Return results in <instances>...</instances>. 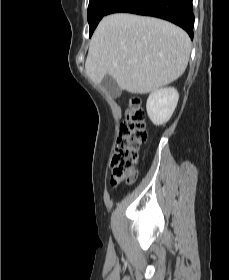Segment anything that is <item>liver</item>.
Instances as JSON below:
<instances>
[{"instance_id": "obj_1", "label": "liver", "mask_w": 229, "mask_h": 280, "mask_svg": "<svg viewBox=\"0 0 229 280\" xmlns=\"http://www.w3.org/2000/svg\"><path fill=\"white\" fill-rule=\"evenodd\" d=\"M190 51L191 40L180 27L157 18L117 13L98 24L85 71L96 85L110 75L120 89L147 94L178 79Z\"/></svg>"}]
</instances>
